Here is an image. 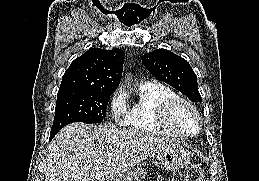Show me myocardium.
Masks as SVG:
<instances>
[{
  "mask_svg": "<svg viewBox=\"0 0 259 181\" xmlns=\"http://www.w3.org/2000/svg\"><path fill=\"white\" fill-rule=\"evenodd\" d=\"M180 107L187 108L194 116L195 128L193 130H186L177 123L176 113ZM161 120L165 126L181 136H194L200 132L202 126V119L196 107L190 101L179 96L170 99L164 104L161 110Z\"/></svg>",
  "mask_w": 259,
  "mask_h": 181,
  "instance_id": "1",
  "label": "myocardium"
}]
</instances>
